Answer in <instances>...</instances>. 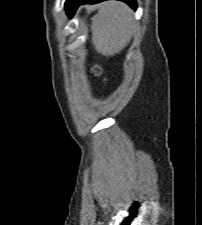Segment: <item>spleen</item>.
Returning <instances> with one entry per match:
<instances>
[{
  "mask_svg": "<svg viewBox=\"0 0 202 225\" xmlns=\"http://www.w3.org/2000/svg\"><path fill=\"white\" fill-rule=\"evenodd\" d=\"M92 43L95 50L112 56L124 49L134 30L132 11L122 2L112 0L100 7L92 20Z\"/></svg>",
  "mask_w": 202,
  "mask_h": 225,
  "instance_id": "obj_1",
  "label": "spleen"
}]
</instances>
